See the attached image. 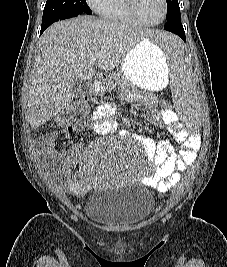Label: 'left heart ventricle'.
I'll use <instances>...</instances> for the list:
<instances>
[{"label": "left heart ventricle", "mask_w": 227, "mask_h": 267, "mask_svg": "<svg viewBox=\"0 0 227 267\" xmlns=\"http://www.w3.org/2000/svg\"><path fill=\"white\" fill-rule=\"evenodd\" d=\"M138 11L148 22H157L163 15L161 0H138Z\"/></svg>", "instance_id": "obj_1"}]
</instances>
